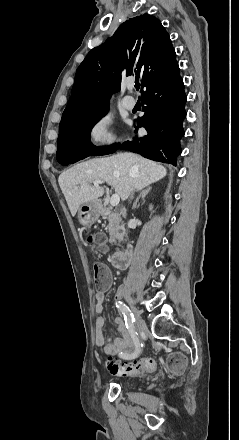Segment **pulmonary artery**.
Segmentation results:
<instances>
[{
    "mask_svg": "<svg viewBox=\"0 0 239 440\" xmlns=\"http://www.w3.org/2000/svg\"><path fill=\"white\" fill-rule=\"evenodd\" d=\"M133 91H134V86L132 84L128 85V91H127L128 94L133 93ZM121 105L127 110H132L135 106V101L133 100L132 96L127 95L122 98Z\"/></svg>",
    "mask_w": 239,
    "mask_h": 440,
    "instance_id": "e3ab8cb5",
    "label": "pulmonary artery"
}]
</instances>
